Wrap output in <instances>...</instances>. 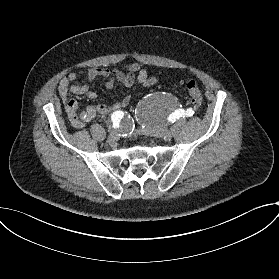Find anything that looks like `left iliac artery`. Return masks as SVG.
Instances as JSON below:
<instances>
[{
	"label": "left iliac artery",
	"instance_id": "1",
	"mask_svg": "<svg viewBox=\"0 0 279 279\" xmlns=\"http://www.w3.org/2000/svg\"><path fill=\"white\" fill-rule=\"evenodd\" d=\"M193 114H194V110L192 108H188L186 111L180 109V110H176L175 113L171 114L168 119L172 122H175L176 119H179L182 116L185 117L186 115L187 117H190Z\"/></svg>",
	"mask_w": 279,
	"mask_h": 279
}]
</instances>
